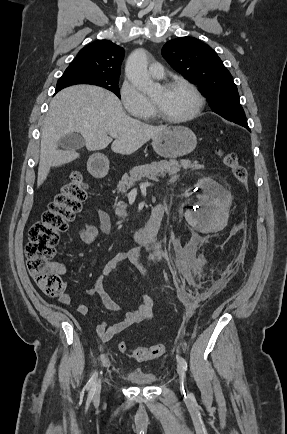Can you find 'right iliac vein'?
<instances>
[{"label": "right iliac vein", "instance_id": "obj_1", "mask_svg": "<svg viewBox=\"0 0 287 434\" xmlns=\"http://www.w3.org/2000/svg\"><path fill=\"white\" fill-rule=\"evenodd\" d=\"M100 391H101V382L98 381L96 386H95V391H94V397L97 398L100 395Z\"/></svg>", "mask_w": 287, "mask_h": 434}]
</instances>
